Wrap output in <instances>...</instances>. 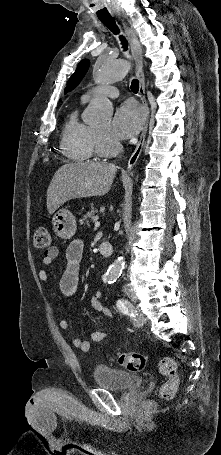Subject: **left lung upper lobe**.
Instances as JSON below:
<instances>
[{"mask_svg": "<svg viewBox=\"0 0 221 455\" xmlns=\"http://www.w3.org/2000/svg\"><path fill=\"white\" fill-rule=\"evenodd\" d=\"M89 67V61L87 59L82 60L78 66L74 74L70 77L69 81L67 82V87L65 88V93L74 89L79 82L82 80L84 75L86 74Z\"/></svg>", "mask_w": 221, "mask_h": 455, "instance_id": "5c2ea615", "label": "left lung upper lobe"}]
</instances>
